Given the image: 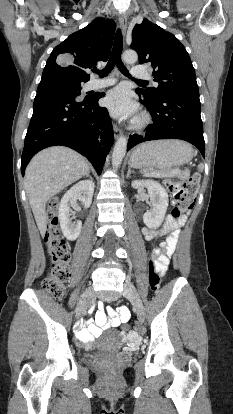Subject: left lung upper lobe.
<instances>
[{
    "instance_id": "5c2ea615",
    "label": "left lung upper lobe",
    "mask_w": 233,
    "mask_h": 414,
    "mask_svg": "<svg viewBox=\"0 0 233 414\" xmlns=\"http://www.w3.org/2000/svg\"><path fill=\"white\" fill-rule=\"evenodd\" d=\"M131 48L140 64L151 63L154 81L159 83L157 88L137 89L148 102L174 92L198 91L191 59L173 34L144 18L133 28Z\"/></svg>"
}]
</instances>
